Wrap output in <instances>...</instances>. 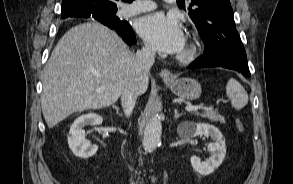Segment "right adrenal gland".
<instances>
[{"mask_svg":"<svg viewBox=\"0 0 293 184\" xmlns=\"http://www.w3.org/2000/svg\"><path fill=\"white\" fill-rule=\"evenodd\" d=\"M113 108L116 110V113H117L118 115H121V116H122V113L120 112L119 107L113 105Z\"/></svg>","mask_w":293,"mask_h":184,"instance_id":"1","label":"right adrenal gland"}]
</instances>
